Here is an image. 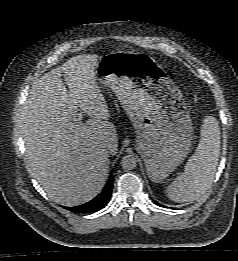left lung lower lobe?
Returning <instances> with one entry per match:
<instances>
[{
    "mask_svg": "<svg viewBox=\"0 0 238 261\" xmlns=\"http://www.w3.org/2000/svg\"><path fill=\"white\" fill-rule=\"evenodd\" d=\"M155 204L159 205V206H162L161 204H159L158 202L154 201Z\"/></svg>",
    "mask_w": 238,
    "mask_h": 261,
    "instance_id": "0a47b994",
    "label": "left lung lower lobe"
}]
</instances>
